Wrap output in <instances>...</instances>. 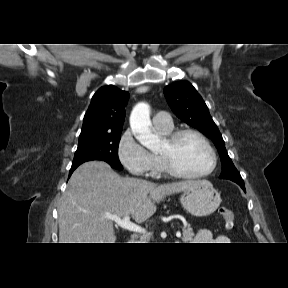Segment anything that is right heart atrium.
Instances as JSON below:
<instances>
[{"mask_svg":"<svg viewBox=\"0 0 288 288\" xmlns=\"http://www.w3.org/2000/svg\"><path fill=\"white\" fill-rule=\"evenodd\" d=\"M117 154L121 164L133 175L154 177V156L133 136L130 130L125 131L118 142Z\"/></svg>","mask_w":288,"mask_h":288,"instance_id":"1","label":"right heart atrium"}]
</instances>
